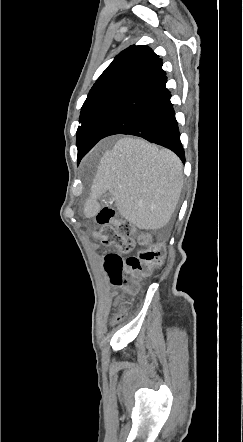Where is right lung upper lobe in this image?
Here are the masks:
<instances>
[{
	"label": "right lung upper lobe",
	"mask_w": 243,
	"mask_h": 442,
	"mask_svg": "<svg viewBox=\"0 0 243 442\" xmlns=\"http://www.w3.org/2000/svg\"><path fill=\"white\" fill-rule=\"evenodd\" d=\"M162 60L147 46H130L115 57L97 79L86 100L107 94H129L161 76Z\"/></svg>",
	"instance_id": "cb5924a9"
}]
</instances>
